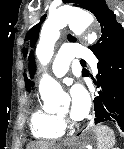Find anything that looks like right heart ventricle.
<instances>
[{
  "instance_id": "obj_1",
  "label": "right heart ventricle",
  "mask_w": 124,
  "mask_h": 149,
  "mask_svg": "<svg viewBox=\"0 0 124 149\" xmlns=\"http://www.w3.org/2000/svg\"><path fill=\"white\" fill-rule=\"evenodd\" d=\"M29 128L32 137L41 142L55 141L65 133V127L58 115L47 111L40 105L31 111Z\"/></svg>"
}]
</instances>
